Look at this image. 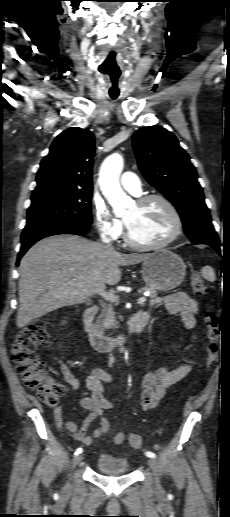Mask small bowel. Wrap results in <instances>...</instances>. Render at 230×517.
<instances>
[{"mask_svg":"<svg viewBox=\"0 0 230 517\" xmlns=\"http://www.w3.org/2000/svg\"><path fill=\"white\" fill-rule=\"evenodd\" d=\"M153 306L164 304L167 310L181 317L185 326L192 329L196 326L198 314L197 303L183 292L168 295L162 299H155L151 303ZM195 340V338H194ZM55 359L60 365L64 380L73 390H78L81 386L80 381L73 375L69 365L60 357ZM191 361H186L176 369L167 367L153 368L149 370L142 379L141 408L149 411L155 408L164 397L166 389L181 381L191 370ZM112 375L103 368H95L84 381L85 389L80 394L79 403L81 407L89 411L81 425H77L63 418L62 408L56 407L53 412L55 426L59 431L66 430L67 435L84 445H91L95 438L105 435L109 430V423L102 419L100 425L88 434L91 423L100 418L104 411L111 410L115 404L104 396L103 383H112ZM128 441V435L120 432L114 437L115 444Z\"/></svg>","mask_w":230,"mask_h":517,"instance_id":"small-bowel-1","label":"small bowel"}]
</instances>
